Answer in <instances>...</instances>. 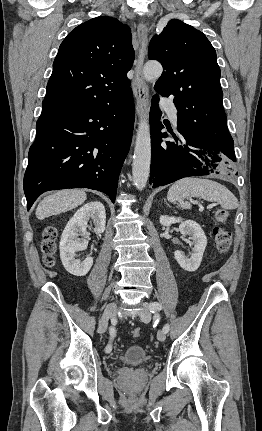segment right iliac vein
I'll return each mask as SVG.
<instances>
[{
	"label": "right iliac vein",
	"mask_w": 262,
	"mask_h": 431,
	"mask_svg": "<svg viewBox=\"0 0 262 431\" xmlns=\"http://www.w3.org/2000/svg\"><path fill=\"white\" fill-rule=\"evenodd\" d=\"M116 310L117 304L114 302L106 306L98 325V330L100 333H104L106 331L109 320L114 317Z\"/></svg>",
	"instance_id": "1"
}]
</instances>
